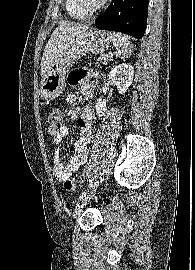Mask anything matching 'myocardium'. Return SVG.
<instances>
[{"label": "myocardium", "mask_w": 195, "mask_h": 270, "mask_svg": "<svg viewBox=\"0 0 195 270\" xmlns=\"http://www.w3.org/2000/svg\"><path fill=\"white\" fill-rule=\"evenodd\" d=\"M76 1H77L78 6L82 10L93 14V13L99 11L100 9H102L105 6V4L107 3V1H109V0H100L96 4H91V3H89L88 0H76Z\"/></svg>", "instance_id": "myocardium-1"}]
</instances>
